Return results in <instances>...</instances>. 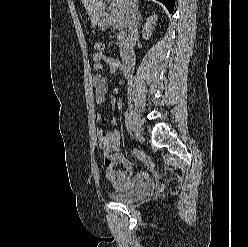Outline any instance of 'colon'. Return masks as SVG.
<instances>
[{
  "mask_svg": "<svg viewBox=\"0 0 248 247\" xmlns=\"http://www.w3.org/2000/svg\"><path fill=\"white\" fill-rule=\"evenodd\" d=\"M94 50H95V54H97V55L103 54V51H104V45H103V43L102 42H99V41L96 42L94 44ZM134 156L136 158H138L139 160L143 161L147 165V167L149 168V170L153 171L155 169V163L146 154L142 153L141 151H135L134 152Z\"/></svg>",
  "mask_w": 248,
  "mask_h": 247,
  "instance_id": "5ec220e1",
  "label": "colon"
}]
</instances>
